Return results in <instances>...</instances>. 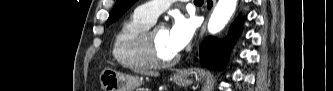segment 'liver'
Masks as SVG:
<instances>
[{"instance_id": "obj_1", "label": "liver", "mask_w": 333, "mask_h": 91, "mask_svg": "<svg viewBox=\"0 0 333 91\" xmlns=\"http://www.w3.org/2000/svg\"><path fill=\"white\" fill-rule=\"evenodd\" d=\"M140 73L143 74V75L154 76V77H157L159 75L158 72H143V71H141Z\"/></svg>"}]
</instances>
